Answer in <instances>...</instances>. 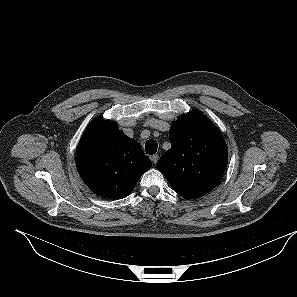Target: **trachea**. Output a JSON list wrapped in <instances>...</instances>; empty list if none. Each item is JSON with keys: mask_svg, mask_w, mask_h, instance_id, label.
I'll return each instance as SVG.
<instances>
[{"mask_svg": "<svg viewBox=\"0 0 297 297\" xmlns=\"http://www.w3.org/2000/svg\"><path fill=\"white\" fill-rule=\"evenodd\" d=\"M158 148V144L155 140H148L145 144V150L147 154H154L156 153Z\"/></svg>", "mask_w": 297, "mask_h": 297, "instance_id": "trachea-1", "label": "trachea"}]
</instances>
